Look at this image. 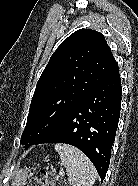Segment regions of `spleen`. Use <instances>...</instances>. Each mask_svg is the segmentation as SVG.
<instances>
[{"instance_id":"spleen-1","label":"spleen","mask_w":138,"mask_h":186,"mask_svg":"<svg viewBox=\"0 0 138 186\" xmlns=\"http://www.w3.org/2000/svg\"><path fill=\"white\" fill-rule=\"evenodd\" d=\"M55 150L67 170L70 185L92 186L97 178V171L84 153L67 144H56Z\"/></svg>"}]
</instances>
